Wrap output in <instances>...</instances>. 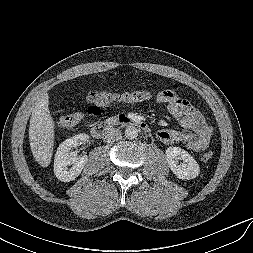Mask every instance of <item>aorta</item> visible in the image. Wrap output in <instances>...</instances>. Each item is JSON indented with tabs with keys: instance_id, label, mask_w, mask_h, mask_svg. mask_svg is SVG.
<instances>
[{
	"instance_id": "1",
	"label": "aorta",
	"mask_w": 253,
	"mask_h": 253,
	"mask_svg": "<svg viewBox=\"0 0 253 253\" xmlns=\"http://www.w3.org/2000/svg\"><path fill=\"white\" fill-rule=\"evenodd\" d=\"M138 136V130L134 126H128L125 129V137L127 139H135Z\"/></svg>"
}]
</instances>
